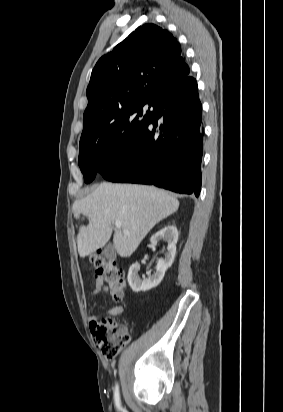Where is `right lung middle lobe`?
Returning a JSON list of instances; mask_svg holds the SVG:
<instances>
[{
  "instance_id": "obj_1",
  "label": "right lung middle lobe",
  "mask_w": 283,
  "mask_h": 412,
  "mask_svg": "<svg viewBox=\"0 0 283 412\" xmlns=\"http://www.w3.org/2000/svg\"><path fill=\"white\" fill-rule=\"evenodd\" d=\"M158 103H141L120 113L102 132L80 139L79 166L90 183L103 167L122 157L137 141Z\"/></svg>"
}]
</instances>
